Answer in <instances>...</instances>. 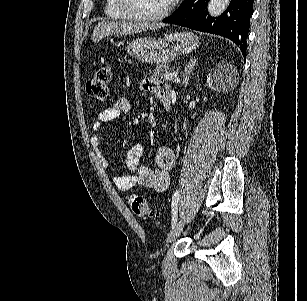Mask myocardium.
I'll return each instance as SVG.
<instances>
[{
    "label": "myocardium",
    "instance_id": "obj_1",
    "mask_svg": "<svg viewBox=\"0 0 307 301\" xmlns=\"http://www.w3.org/2000/svg\"><path fill=\"white\" fill-rule=\"evenodd\" d=\"M128 1L132 0H119L116 3L118 7L117 17H126L127 22H161L162 17H166L172 7V0L162 7L161 11H131L128 10L130 5Z\"/></svg>",
    "mask_w": 307,
    "mask_h": 301
}]
</instances>
